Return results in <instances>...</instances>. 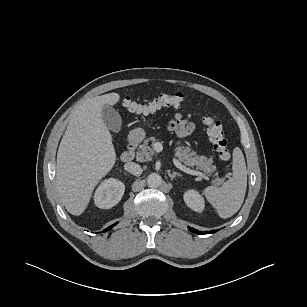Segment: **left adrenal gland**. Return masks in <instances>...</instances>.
<instances>
[{"mask_svg":"<svg viewBox=\"0 0 307 307\" xmlns=\"http://www.w3.org/2000/svg\"><path fill=\"white\" fill-rule=\"evenodd\" d=\"M168 176L171 178V180L175 179L176 176H181L178 172H173L171 173L170 171H168Z\"/></svg>","mask_w":307,"mask_h":307,"instance_id":"1","label":"left adrenal gland"}]
</instances>
